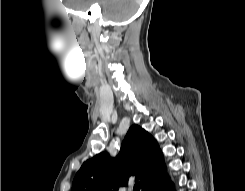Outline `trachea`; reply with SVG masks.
I'll return each mask as SVG.
<instances>
[{
	"label": "trachea",
	"mask_w": 245,
	"mask_h": 191,
	"mask_svg": "<svg viewBox=\"0 0 245 191\" xmlns=\"http://www.w3.org/2000/svg\"><path fill=\"white\" fill-rule=\"evenodd\" d=\"M134 191H140V184L139 183H136L134 185Z\"/></svg>",
	"instance_id": "1"
}]
</instances>
